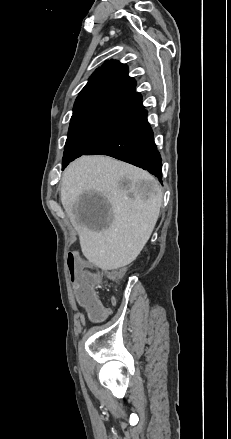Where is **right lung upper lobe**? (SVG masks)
Returning a JSON list of instances; mask_svg holds the SVG:
<instances>
[{
    "label": "right lung upper lobe",
    "instance_id": "1",
    "mask_svg": "<svg viewBox=\"0 0 231 439\" xmlns=\"http://www.w3.org/2000/svg\"><path fill=\"white\" fill-rule=\"evenodd\" d=\"M135 87L136 81L128 76L126 65L106 61L79 93L72 117L102 115L125 120L143 108Z\"/></svg>",
    "mask_w": 231,
    "mask_h": 439
}]
</instances>
